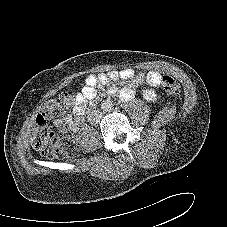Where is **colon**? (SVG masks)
<instances>
[{
  "label": "colon",
  "mask_w": 227,
  "mask_h": 227,
  "mask_svg": "<svg viewBox=\"0 0 227 227\" xmlns=\"http://www.w3.org/2000/svg\"><path fill=\"white\" fill-rule=\"evenodd\" d=\"M161 86L168 95L180 92L178 82L171 76H163ZM71 102L72 97L69 94H61L58 100L46 102L36 117L32 146L41 155L54 158L73 157L77 154L78 148L66 127L62 126L58 131H53L47 125L48 119L60 117L64 112L63 105Z\"/></svg>",
  "instance_id": "colon-1"
}]
</instances>
